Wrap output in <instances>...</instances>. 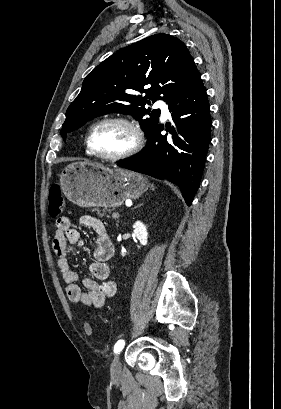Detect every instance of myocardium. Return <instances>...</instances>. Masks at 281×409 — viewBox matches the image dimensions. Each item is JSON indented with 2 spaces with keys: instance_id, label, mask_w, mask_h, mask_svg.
Segmentation results:
<instances>
[{
  "instance_id": "myocardium-1",
  "label": "myocardium",
  "mask_w": 281,
  "mask_h": 409,
  "mask_svg": "<svg viewBox=\"0 0 281 409\" xmlns=\"http://www.w3.org/2000/svg\"><path fill=\"white\" fill-rule=\"evenodd\" d=\"M108 124L123 125L126 128H128L133 134L132 144L126 150L116 155H103V154L98 153L95 149L94 138H95L96 132L98 131L99 128H101L102 126L108 125ZM143 143H144V133L141 127L133 120H130L123 116H110V117H105L99 120L93 125V127L90 130L89 136H88V147L90 149L91 154L101 160L110 161V162H118V161H121V160H124V159H127L133 156L142 148Z\"/></svg>"
}]
</instances>
